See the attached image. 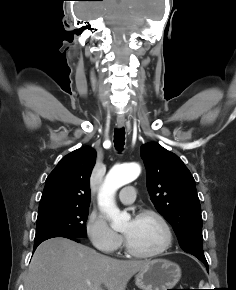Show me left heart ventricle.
Returning a JSON list of instances; mask_svg holds the SVG:
<instances>
[{"instance_id": "obj_1", "label": "left heart ventricle", "mask_w": 236, "mask_h": 290, "mask_svg": "<svg viewBox=\"0 0 236 290\" xmlns=\"http://www.w3.org/2000/svg\"><path fill=\"white\" fill-rule=\"evenodd\" d=\"M123 233L130 245L142 252L158 249L165 240L161 225L153 217H139L127 222Z\"/></svg>"}]
</instances>
